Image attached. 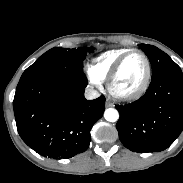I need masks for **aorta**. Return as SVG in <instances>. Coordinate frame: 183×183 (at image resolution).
I'll use <instances>...</instances> for the list:
<instances>
[{
	"label": "aorta",
	"instance_id": "762f6f07",
	"mask_svg": "<svg viewBox=\"0 0 183 183\" xmlns=\"http://www.w3.org/2000/svg\"><path fill=\"white\" fill-rule=\"evenodd\" d=\"M104 118L109 122H116L119 119V113L114 108H108L104 112Z\"/></svg>",
	"mask_w": 183,
	"mask_h": 183
}]
</instances>
